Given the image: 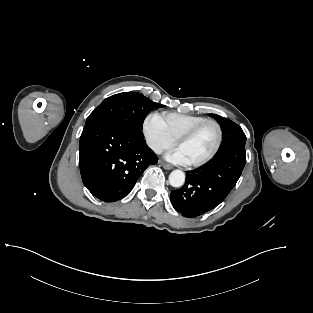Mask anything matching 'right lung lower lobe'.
<instances>
[{"label":"right lung lower lobe","instance_id":"98d812e1","mask_svg":"<svg viewBox=\"0 0 313 313\" xmlns=\"http://www.w3.org/2000/svg\"><path fill=\"white\" fill-rule=\"evenodd\" d=\"M158 161L144 136L100 121L84 127L79 165L84 185L96 198L114 202L125 197L150 164Z\"/></svg>","mask_w":313,"mask_h":313}]
</instances>
